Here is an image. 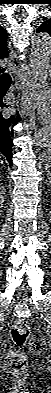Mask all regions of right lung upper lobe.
<instances>
[{"label": "right lung upper lobe", "mask_w": 51, "mask_h": 393, "mask_svg": "<svg viewBox=\"0 0 51 393\" xmlns=\"http://www.w3.org/2000/svg\"><path fill=\"white\" fill-rule=\"evenodd\" d=\"M7 35L6 30L0 26V60L8 56V47H7ZM4 68L0 66V73L4 71Z\"/></svg>", "instance_id": "cb5924a9"}]
</instances>
